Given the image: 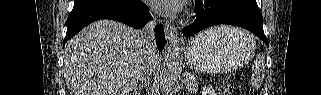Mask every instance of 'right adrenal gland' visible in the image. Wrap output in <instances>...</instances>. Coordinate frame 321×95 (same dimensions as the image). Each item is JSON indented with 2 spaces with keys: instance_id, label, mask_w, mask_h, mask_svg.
I'll return each mask as SVG.
<instances>
[{
  "instance_id": "obj_1",
  "label": "right adrenal gland",
  "mask_w": 321,
  "mask_h": 95,
  "mask_svg": "<svg viewBox=\"0 0 321 95\" xmlns=\"http://www.w3.org/2000/svg\"><path fill=\"white\" fill-rule=\"evenodd\" d=\"M149 81H144V83H142L141 85H139L138 87L134 88V94H137V91L143 88H146L148 86Z\"/></svg>"
}]
</instances>
